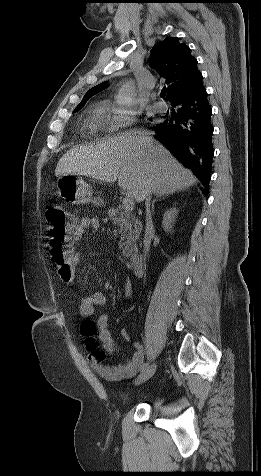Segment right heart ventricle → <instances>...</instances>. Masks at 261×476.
I'll return each instance as SVG.
<instances>
[{
	"label": "right heart ventricle",
	"instance_id": "e07e8e85",
	"mask_svg": "<svg viewBox=\"0 0 261 476\" xmlns=\"http://www.w3.org/2000/svg\"><path fill=\"white\" fill-rule=\"evenodd\" d=\"M96 114H97V117L95 118L91 126L92 131H97L101 128V121L103 120V114H104L103 109L101 108L96 109Z\"/></svg>",
	"mask_w": 261,
	"mask_h": 476
}]
</instances>
